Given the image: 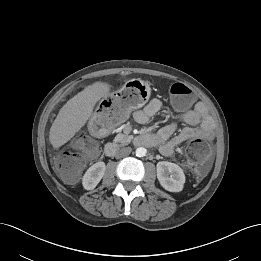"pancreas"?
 Instances as JSON below:
<instances>
[{"label":"pancreas","instance_id":"1","mask_svg":"<svg viewBox=\"0 0 261 261\" xmlns=\"http://www.w3.org/2000/svg\"><path fill=\"white\" fill-rule=\"evenodd\" d=\"M131 139H132V136H130L128 134L119 133L114 138V141L117 143H121L122 145H126V144L130 143Z\"/></svg>","mask_w":261,"mask_h":261}]
</instances>
